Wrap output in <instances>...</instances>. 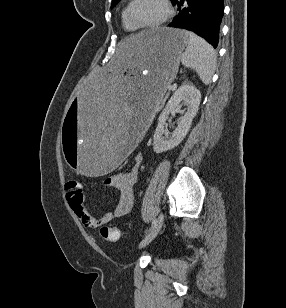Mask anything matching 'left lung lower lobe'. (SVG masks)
<instances>
[{"mask_svg":"<svg viewBox=\"0 0 286 308\" xmlns=\"http://www.w3.org/2000/svg\"><path fill=\"white\" fill-rule=\"evenodd\" d=\"M172 4L178 13L168 26L193 31L217 47L223 0H172Z\"/></svg>","mask_w":286,"mask_h":308,"instance_id":"left-lung-lower-lobe-1","label":"left lung lower lobe"}]
</instances>
